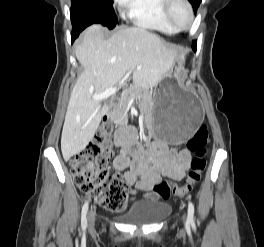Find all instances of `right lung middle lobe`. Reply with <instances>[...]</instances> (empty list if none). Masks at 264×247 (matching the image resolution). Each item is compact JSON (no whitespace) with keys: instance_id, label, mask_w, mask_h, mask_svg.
<instances>
[{"instance_id":"obj_1","label":"right lung middle lobe","mask_w":264,"mask_h":247,"mask_svg":"<svg viewBox=\"0 0 264 247\" xmlns=\"http://www.w3.org/2000/svg\"><path fill=\"white\" fill-rule=\"evenodd\" d=\"M70 16L72 24L84 29L94 23H100L112 29L117 24L113 9V0H71Z\"/></svg>"}]
</instances>
